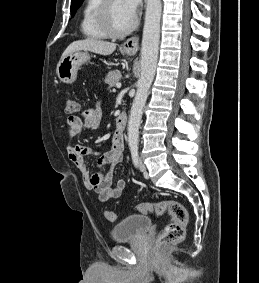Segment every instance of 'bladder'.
Returning a JSON list of instances; mask_svg holds the SVG:
<instances>
[{
    "label": "bladder",
    "mask_w": 259,
    "mask_h": 283,
    "mask_svg": "<svg viewBox=\"0 0 259 283\" xmlns=\"http://www.w3.org/2000/svg\"><path fill=\"white\" fill-rule=\"evenodd\" d=\"M152 226V221L145 215H129L117 223L111 232L114 242L138 237L140 234L147 232Z\"/></svg>",
    "instance_id": "31cf9c89"
}]
</instances>
